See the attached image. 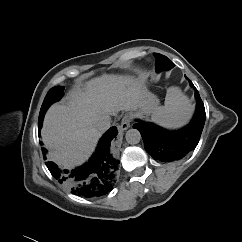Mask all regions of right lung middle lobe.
<instances>
[{
	"label": "right lung middle lobe",
	"instance_id": "right-lung-middle-lobe-1",
	"mask_svg": "<svg viewBox=\"0 0 242 242\" xmlns=\"http://www.w3.org/2000/svg\"><path fill=\"white\" fill-rule=\"evenodd\" d=\"M63 90H64L63 86H56V87L50 89V91L46 95L44 102L41 106V110H40V114H39V123H40V121L43 120L44 114H45L46 110L48 109V107L52 103H54L55 101H58L59 98L62 97Z\"/></svg>",
	"mask_w": 242,
	"mask_h": 242
}]
</instances>
